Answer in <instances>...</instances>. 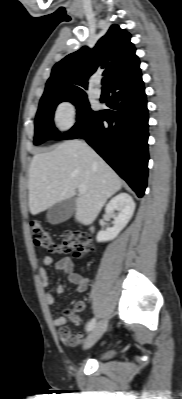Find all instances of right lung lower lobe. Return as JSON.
Listing matches in <instances>:
<instances>
[{"label": "right lung lower lobe", "instance_id": "obj_1", "mask_svg": "<svg viewBox=\"0 0 182 399\" xmlns=\"http://www.w3.org/2000/svg\"><path fill=\"white\" fill-rule=\"evenodd\" d=\"M109 110L94 112L79 131L62 139L85 138L130 185L144 195L148 176V110L141 73L109 86ZM104 121L107 124H104Z\"/></svg>", "mask_w": 182, "mask_h": 399}]
</instances>
